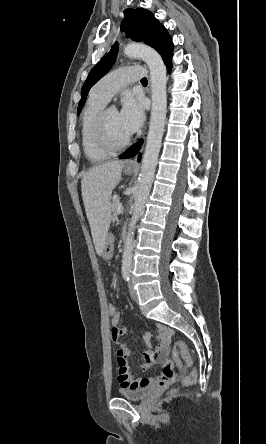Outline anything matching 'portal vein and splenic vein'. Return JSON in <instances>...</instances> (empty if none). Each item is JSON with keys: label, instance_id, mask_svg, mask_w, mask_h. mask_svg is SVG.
I'll return each instance as SVG.
<instances>
[{"label": "portal vein and splenic vein", "instance_id": "18ae733b", "mask_svg": "<svg viewBox=\"0 0 266 444\" xmlns=\"http://www.w3.org/2000/svg\"><path fill=\"white\" fill-rule=\"evenodd\" d=\"M121 210H122V204H121V203H118V206H117V213H121Z\"/></svg>", "mask_w": 266, "mask_h": 444}]
</instances>
